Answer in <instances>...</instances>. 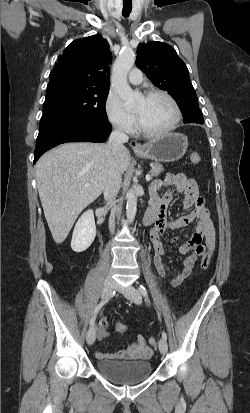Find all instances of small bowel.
Wrapping results in <instances>:
<instances>
[{
    "label": "small bowel",
    "mask_w": 250,
    "mask_h": 413,
    "mask_svg": "<svg viewBox=\"0 0 250 413\" xmlns=\"http://www.w3.org/2000/svg\"><path fill=\"white\" fill-rule=\"evenodd\" d=\"M167 190L161 194V189ZM174 192L183 193V208L192 209L190 213L174 220H168L167 208L173 198ZM151 205L157 211V218L154 227L150 232V240L154 249V264L159 277L165 278L171 274L170 269L164 262L166 255L163 240L170 243L182 241V237L175 236L167 238L165 236L168 230L180 229L196 222V228L193 234L179 246L178 251L186 255L182 263V268L170 280L173 286L180 285L191 275L195 264L200 256L206 250L215 248V228L210 219L209 212L205 207L204 199L199 195V189L196 181L184 174H167L163 179L153 181L150 187ZM205 240L202 244V240ZM117 330V329H116ZM99 337L104 339L106 332L99 325ZM152 348L148 346L142 335L135 338L134 343L122 350L112 353L96 352L98 359H134L145 360L152 355Z\"/></svg>",
    "instance_id": "c3829d8e"
}]
</instances>
